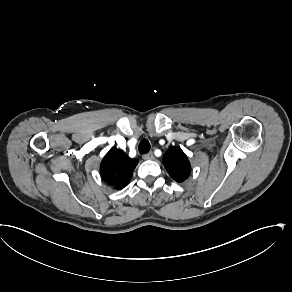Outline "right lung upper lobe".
Instances as JSON below:
<instances>
[{
	"instance_id": "1",
	"label": "right lung upper lobe",
	"mask_w": 292,
	"mask_h": 292,
	"mask_svg": "<svg viewBox=\"0 0 292 292\" xmlns=\"http://www.w3.org/2000/svg\"><path fill=\"white\" fill-rule=\"evenodd\" d=\"M138 160L131 159L124 151L112 148L100 165L102 179L115 189H123L130 181Z\"/></svg>"
}]
</instances>
